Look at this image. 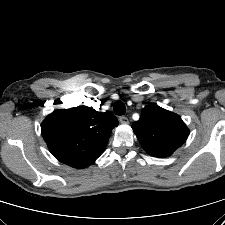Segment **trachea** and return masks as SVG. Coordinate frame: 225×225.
Masks as SVG:
<instances>
[{"label": "trachea", "instance_id": "1", "mask_svg": "<svg viewBox=\"0 0 225 225\" xmlns=\"http://www.w3.org/2000/svg\"><path fill=\"white\" fill-rule=\"evenodd\" d=\"M114 113L116 115H124L126 113V107L122 101H116L114 103Z\"/></svg>", "mask_w": 225, "mask_h": 225}]
</instances>
